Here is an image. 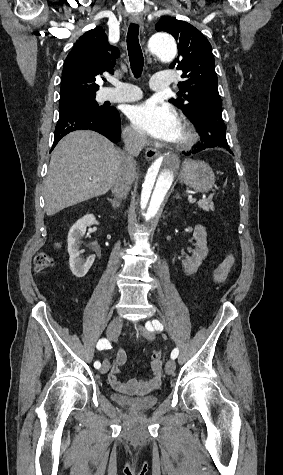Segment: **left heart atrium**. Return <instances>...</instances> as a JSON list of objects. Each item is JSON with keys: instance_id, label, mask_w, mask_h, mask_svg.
Here are the masks:
<instances>
[{"instance_id": "obj_1", "label": "left heart atrium", "mask_w": 283, "mask_h": 475, "mask_svg": "<svg viewBox=\"0 0 283 475\" xmlns=\"http://www.w3.org/2000/svg\"><path fill=\"white\" fill-rule=\"evenodd\" d=\"M127 117L135 130L151 138L174 142L179 136V118L168 104L148 100L132 106Z\"/></svg>"}]
</instances>
